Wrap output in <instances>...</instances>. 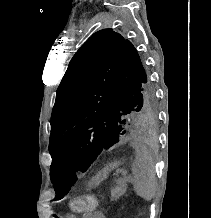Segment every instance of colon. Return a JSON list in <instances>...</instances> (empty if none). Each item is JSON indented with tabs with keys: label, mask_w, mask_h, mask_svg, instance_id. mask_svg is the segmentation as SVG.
I'll return each mask as SVG.
<instances>
[{
	"label": "colon",
	"mask_w": 211,
	"mask_h": 218,
	"mask_svg": "<svg viewBox=\"0 0 211 218\" xmlns=\"http://www.w3.org/2000/svg\"><path fill=\"white\" fill-rule=\"evenodd\" d=\"M94 204L92 197L76 198L71 202V209L75 212H81L94 207Z\"/></svg>",
	"instance_id": "obj_1"
}]
</instances>
